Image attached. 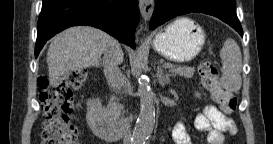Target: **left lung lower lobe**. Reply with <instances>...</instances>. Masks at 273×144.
<instances>
[{
  "instance_id": "0a47b994",
  "label": "left lung lower lobe",
  "mask_w": 273,
  "mask_h": 144,
  "mask_svg": "<svg viewBox=\"0 0 273 144\" xmlns=\"http://www.w3.org/2000/svg\"><path fill=\"white\" fill-rule=\"evenodd\" d=\"M191 12L215 16L243 36L236 15L235 0H155V9L149 27L153 30L176 16Z\"/></svg>"
}]
</instances>
